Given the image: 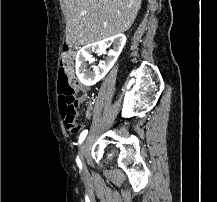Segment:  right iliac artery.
Segmentation results:
<instances>
[{"label": "right iliac artery", "instance_id": "right-iliac-artery-1", "mask_svg": "<svg viewBox=\"0 0 217 202\" xmlns=\"http://www.w3.org/2000/svg\"><path fill=\"white\" fill-rule=\"evenodd\" d=\"M87 133H88V130H84V131L80 134L78 144H81V143L83 142V140H84V139L86 138V136H87ZM76 162H77V164H78V163H81L78 157H77V159H76Z\"/></svg>", "mask_w": 217, "mask_h": 202}]
</instances>
